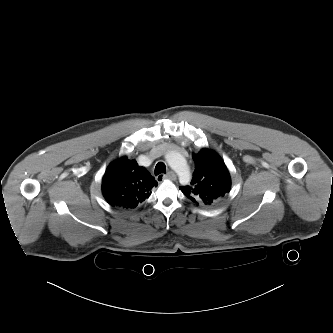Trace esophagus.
Instances as JSON below:
<instances>
[{
    "mask_svg": "<svg viewBox=\"0 0 333 333\" xmlns=\"http://www.w3.org/2000/svg\"><path fill=\"white\" fill-rule=\"evenodd\" d=\"M165 179H169V180H176V175L174 172L170 171L168 172L167 174H159L157 177H156V180L158 182H161Z\"/></svg>",
    "mask_w": 333,
    "mask_h": 333,
    "instance_id": "34e87169",
    "label": "esophagus"
}]
</instances>
